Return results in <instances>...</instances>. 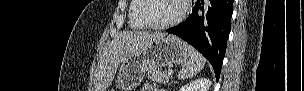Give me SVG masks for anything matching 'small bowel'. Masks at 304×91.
<instances>
[{"instance_id": "1", "label": "small bowel", "mask_w": 304, "mask_h": 91, "mask_svg": "<svg viewBox=\"0 0 304 91\" xmlns=\"http://www.w3.org/2000/svg\"><path fill=\"white\" fill-rule=\"evenodd\" d=\"M161 89H158L152 85H145L143 88H142V91H160Z\"/></svg>"}]
</instances>
